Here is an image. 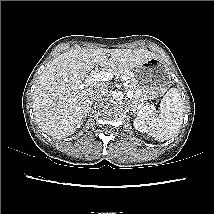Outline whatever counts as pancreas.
Listing matches in <instances>:
<instances>
[{"label": "pancreas", "mask_w": 214, "mask_h": 214, "mask_svg": "<svg viewBox=\"0 0 214 214\" xmlns=\"http://www.w3.org/2000/svg\"><path fill=\"white\" fill-rule=\"evenodd\" d=\"M111 72L115 73L116 76H119L120 78L126 77L129 90H131L135 94L138 91L137 81L132 72H130L127 69H123L120 67H112ZM130 107L133 111H136L138 115L145 116V115H153V109L154 107L151 105H148L145 102H138L134 98L130 100Z\"/></svg>", "instance_id": "obj_1"}]
</instances>
